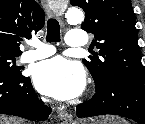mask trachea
Wrapping results in <instances>:
<instances>
[{
	"mask_svg": "<svg viewBox=\"0 0 145 124\" xmlns=\"http://www.w3.org/2000/svg\"><path fill=\"white\" fill-rule=\"evenodd\" d=\"M47 42H59L60 41V26L56 19L50 18L47 21Z\"/></svg>",
	"mask_w": 145,
	"mask_h": 124,
	"instance_id": "3493384b",
	"label": "trachea"
}]
</instances>
